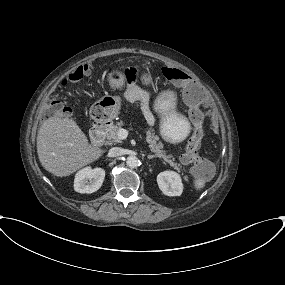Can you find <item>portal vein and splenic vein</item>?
<instances>
[{
    "label": "portal vein and splenic vein",
    "instance_id": "1",
    "mask_svg": "<svg viewBox=\"0 0 285 285\" xmlns=\"http://www.w3.org/2000/svg\"><path fill=\"white\" fill-rule=\"evenodd\" d=\"M128 133H129V132H128L127 129L120 128L119 131H118V133H117V135H118V138H119L120 140H124V139L127 138Z\"/></svg>",
    "mask_w": 285,
    "mask_h": 285
}]
</instances>
